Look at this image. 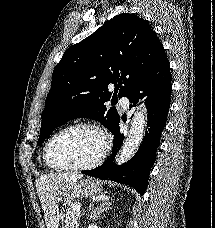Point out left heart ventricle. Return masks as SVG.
Here are the masks:
<instances>
[{"mask_svg":"<svg viewBox=\"0 0 215 228\" xmlns=\"http://www.w3.org/2000/svg\"><path fill=\"white\" fill-rule=\"evenodd\" d=\"M102 149L103 139L99 133L88 128H75L53 142L50 159L60 166L83 165L97 158Z\"/></svg>","mask_w":215,"mask_h":228,"instance_id":"1","label":"left heart ventricle"}]
</instances>
